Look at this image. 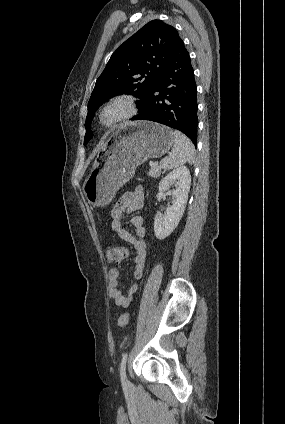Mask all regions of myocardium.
<instances>
[{
  "label": "myocardium",
  "instance_id": "f54148a6",
  "mask_svg": "<svg viewBox=\"0 0 285 424\" xmlns=\"http://www.w3.org/2000/svg\"><path fill=\"white\" fill-rule=\"evenodd\" d=\"M115 108L121 112L114 118L108 119L107 113ZM138 112V104L134 97L121 95L108 100L97 113V124L102 130H112L132 119Z\"/></svg>",
  "mask_w": 285,
  "mask_h": 424
}]
</instances>
